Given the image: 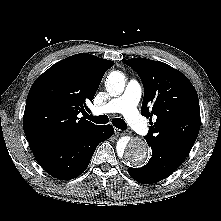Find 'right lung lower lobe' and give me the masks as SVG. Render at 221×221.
<instances>
[{
	"label": "right lung lower lobe",
	"instance_id": "right-lung-lower-lobe-1",
	"mask_svg": "<svg viewBox=\"0 0 221 221\" xmlns=\"http://www.w3.org/2000/svg\"><path fill=\"white\" fill-rule=\"evenodd\" d=\"M113 132L111 125L96 126L81 135L34 152V157L49 175L70 180L86 170L96 147L110 138Z\"/></svg>",
	"mask_w": 221,
	"mask_h": 221
}]
</instances>
